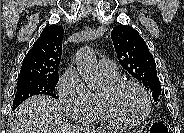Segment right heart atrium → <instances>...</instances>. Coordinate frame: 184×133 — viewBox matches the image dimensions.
Instances as JSON below:
<instances>
[{
	"label": "right heart atrium",
	"mask_w": 184,
	"mask_h": 133,
	"mask_svg": "<svg viewBox=\"0 0 184 133\" xmlns=\"http://www.w3.org/2000/svg\"><path fill=\"white\" fill-rule=\"evenodd\" d=\"M57 92L65 113L73 120L90 122L94 114V95L78 73L68 69L61 77Z\"/></svg>",
	"instance_id": "1"
}]
</instances>
